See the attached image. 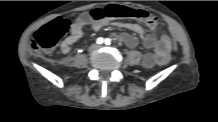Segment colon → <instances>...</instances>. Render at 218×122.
I'll return each mask as SVG.
<instances>
[{"label": "colon", "instance_id": "colon-1", "mask_svg": "<svg viewBox=\"0 0 218 122\" xmlns=\"http://www.w3.org/2000/svg\"><path fill=\"white\" fill-rule=\"evenodd\" d=\"M91 15L95 19L102 18H119V17H133L143 20L148 26L154 27L159 23V19L154 14L145 10L129 9L120 5H110L104 10H94ZM70 28V21L66 18L59 17L54 21L41 27L34 36L35 48L49 52L51 51L59 41V39L65 35ZM172 60L170 55H165L160 59V64L165 66Z\"/></svg>", "mask_w": 218, "mask_h": 122}]
</instances>
